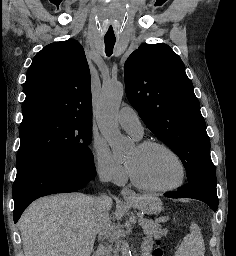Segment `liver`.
Segmentation results:
<instances>
[{
    "label": "liver",
    "mask_w": 236,
    "mask_h": 256,
    "mask_svg": "<svg viewBox=\"0 0 236 256\" xmlns=\"http://www.w3.org/2000/svg\"><path fill=\"white\" fill-rule=\"evenodd\" d=\"M85 194L39 198L19 222L25 256H91L98 228L108 224V212L94 208Z\"/></svg>",
    "instance_id": "1"
}]
</instances>
